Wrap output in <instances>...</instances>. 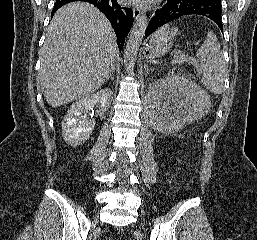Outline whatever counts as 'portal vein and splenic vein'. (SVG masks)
Returning a JSON list of instances; mask_svg holds the SVG:
<instances>
[{
	"label": "portal vein and splenic vein",
	"instance_id": "1",
	"mask_svg": "<svg viewBox=\"0 0 257 240\" xmlns=\"http://www.w3.org/2000/svg\"><path fill=\"white\" fill-rule=\"evenodd\" d=\"M185 61H190L191 63H195L194 60L192 58H188L187 56L185 55H176L174 57V59L172 60V64H175V63H178V64H182L184 63Z\"/></svg>",
	"mask_w": 257,
	"mask_h": 240
}]
</instances>
